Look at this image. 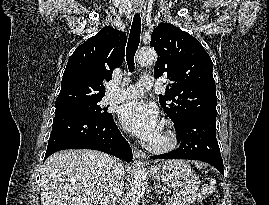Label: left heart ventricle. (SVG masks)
<instances>
[{
  "instance_id": "1",
  "label": "left heart ventricle",
  "mask_w": 269,
  "mask_h": 205,
  "mask_svg": "<svg viewBox=\"0 0 269 205\" xmlns=\"http://www.w3.org/2000/svg\"><path fill=\"white\" fill-rule=\"evenodd\" d=\"M162 139H163V131L161 130V132H160V134L158 135V137L155 139V141L154 142H160V141H162Z\"/></svg>"
}]
</instances>
